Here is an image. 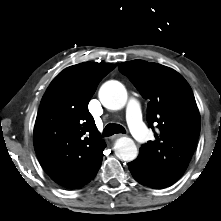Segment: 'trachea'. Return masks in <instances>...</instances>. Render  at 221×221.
<instances>
[{"label":"trachea","mask_w":221,"mask_h":221,"mask_svg":"<svg viewBox=\"0 0 221 221\" xmlns=\"http://www.w3.org/2000/svg\"><path fill=\"white\" fill-rule=\"evenodd\" d=\"M118 133H126L124 127L119 124L109 123L104 128L103 137H109L112 136L113 134H118Z\"/></svg>","instance_id":"trachea-1"}]
</instances>
